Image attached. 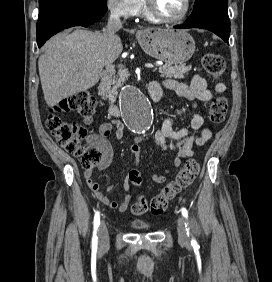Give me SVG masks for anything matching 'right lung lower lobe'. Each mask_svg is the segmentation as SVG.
I'll return each mask as SVG.
<instances>
[{
    "label": "right lung lower lobe",
    "mask_w": 272,
    "mask_h": 282,
    "mask_svg": "<svg viewBox=\"0 0 272 282\" xmlns=\"http://www.w3.org/2000/svg\"><path fill=\"white\" fill-rule=\"evenodd\" d=\"M106 11L107 5L82 1H61L42 7L37 22L38 47L65 28L93 24Z\"/></svg>",
    "instance_id": "right-lung-lower-lobe-1"
}]
</instances>
